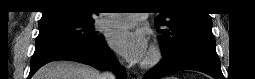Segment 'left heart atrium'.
Wrapping results in <instances>:
<instances>
[{
    "label": "left heart atrium",
    "instance_id": "left-heart-atrium-1",
    "mask_svg": "<svg viewBox=\"0 0 255 79\" xmlns=\"http://www.w3.org/2000/svg\"><path fill=\"white\" fill-rule=\"evenodd\" d=\"M113 48L131 63L142 61L147 55L148 39L144 32L133 29H119L112 33Z\"/></svg>",
    "mask_w": 255,
    "mask_h": 79
}]
</instances>
